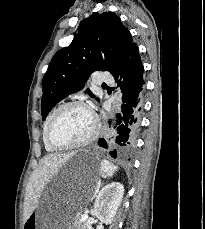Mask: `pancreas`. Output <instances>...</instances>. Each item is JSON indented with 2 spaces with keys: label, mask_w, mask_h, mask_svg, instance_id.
Returning a JSON list of instances; mask_svg holds the SVG:
<instances>
[{
  "label": "pancreas",
  "mask_w": 205,
  "mask_h": 229,
  "mask_svg": "<svg viewBox=\"0 0 205 229\" xmlns=\"http://www.w3.org/2000/svg\"><path fill=\"white\" fill-rule=\"evenodd\" d=\"M80 217L78 216L74 222V229H85V223L80 221Z\"/></svg>",
  "instance_id": "pancreas-1"
}]
</instances>
